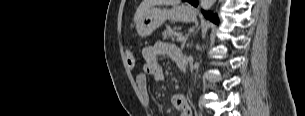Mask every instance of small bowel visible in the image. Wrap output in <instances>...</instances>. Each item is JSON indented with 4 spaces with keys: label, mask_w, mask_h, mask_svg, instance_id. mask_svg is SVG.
<instances>
[{
    "label": "small bowel",
    "mask_w": 305,
    "mask_h": 116,
    "mask_svg": "<svg viewBox=\"0 0 305 116\" xmlns=\"http://www.w3.org/2000/svg\"><path fill=\"white\" fill-rule=\"evenodd\" d=\"M144 59L143 69L136 75V83L144 100L150 103L147 75H151L155 81L164 79V70L159 58L166 56L176 62L177 58L183 56L181 50L174 44L159 41L153 46H148L142 52ZM173 107L180 112V116H192V111L186 98L181 94H174L171 98Z\"/></svg>",
    "instance_id": "c3829d8e"
}]
</instances>
